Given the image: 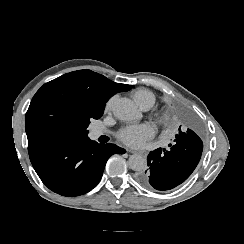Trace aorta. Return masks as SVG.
Instances as JSON below:
<instances>
[{
	"instance_id": "762f6f07",
	"label": "aorta",
	"mask_w": 244,
	"mask_h": 244,
	"mask_svg": "<svg viewBox=\"0 0 244 244\" xmlns=\"http://www.w3.org/2000/svg\"><path fill=\"white\" fill-rule=\"evenodd\" d=\"M114 116L120 121L129 123L141 118V113L134 102L128 98H118L113 104ZM129 167L136 171H143L147 168L146 158L139 154H133L128 160Z\"/></svg>"
}]
</instances>
